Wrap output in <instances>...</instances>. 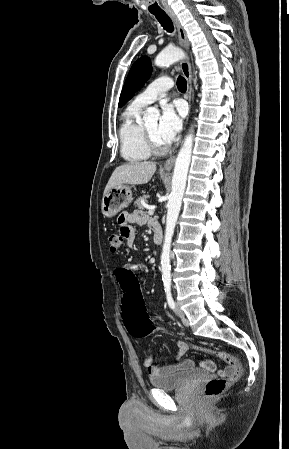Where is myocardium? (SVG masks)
<instances>
[{
	"label": "myocardium",
	"instance_id": "1",
	"mask_svg": "<svg viewBox=\"0 0 289 449\" xmlns=\"http://www.w3.org/2000/svg\"><path fill=\"white\" fill-rule=\"evenodd\" d=\"M142 129H143V135H144V140H145L146 146L151 154L162 155V154H165L169 150V146L159 145L153 139V137L151 136V134L149 133V131L145 125H143Z\"/></svg>",
	"mask_w": 289,
	"mask_h": 449
}]
</instances>
